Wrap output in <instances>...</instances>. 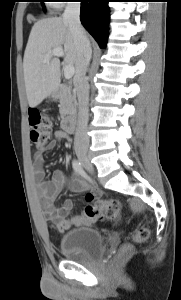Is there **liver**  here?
<instances>
[{"mask_svg":"<svg viewBox=\"0 0 181 300\" xmlns=\"http://www.w3.org/2000/svg\"><path fill=\"white\" fill-rule=\"evenodd\" d=\"M55 48L63 49L65 65L75 66L77 51L68 23L61 17L37 21L31 29L23 59L26 95L32 108L60 84V60L52 56L49 61H44Z\"/></svg>","mask_w":181,"mask_h":300,"instance_id":"obj_1","label":"liver"}]
</instances>
